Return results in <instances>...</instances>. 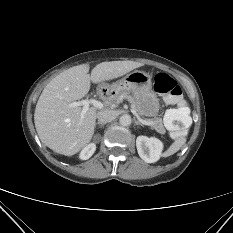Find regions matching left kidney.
Segmentation results:
<instances>
[{
    "label": "left kidney",
    "mask_w": 233,
    "mask_h": 233,
    "mask_svg": "<svg viewBox=\"0 0 233 233\" xmlns=\"http://www.w3.org/2000/svg\"><path fill=\"white\" fill-rule=\"evenodd\" d=\"M138 154L147 163H154L159 160L163 143L155 137L138 136L136 139Z\"/></svg>",
    "instance_id": "obj_1"
}]
</instances>
